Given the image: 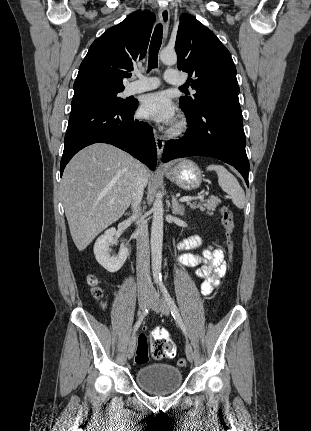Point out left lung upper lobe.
<instances>
[{
    "label": "left lung upper lobe",
    "mask_w": 311,
    "mask_h": 431,
    "mask_svg": "<svg viewBox=\"0 0 311 431\" xmlns=\"http://www.w3.org/2000/svg\"><path fill=\"white\" fill-rule=\"evenodd\" d=\"M175 50L178 68L189 73L188 81L196 90L193 97L180 98V107L186 114H195L216 102H239L230 52L211 30L189 14L181 15Z\"/></svg>",
    "instance_id": "5c2ea615"
}]
</instances>
